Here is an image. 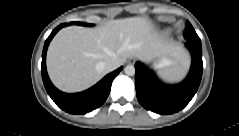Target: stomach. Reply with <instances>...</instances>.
Segmentation results:
<instances>
[{"instance_id":"0dacf381","label":"stomach","mask_w":239,"mask_h":136,"mask_svg":"<svg viewBox=\"0 0 239 136\" xmlns=\"http://www.w3.org/2000/svg\"><path fill=\"white\" fill-rule=\"evenodd\" d=\"M171 64V60L168 57H161L158 61H157V66L159 67H164Z\"/></svg>"}]
</instances>
